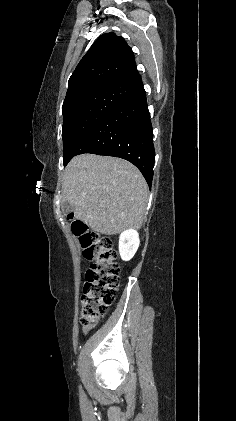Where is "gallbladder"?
<instances>
[{
  "label": "gallbladder",
  "instance_id": "gallbladder-1",
  "mask_svg": "<svg viewBox=\"0 0 236 421\" xmlns=\"http://www.w3.org/2000/svg\"><path fill=\"white\" fill-rule=\"evenodd\" d=\"M61 208L65 215H68V213H71V211H75L73 204H70L68 200H63V202H61Z\"/></svg>",
  "mask_w": 236,
  "mask_h": 421
}]
</instances>
